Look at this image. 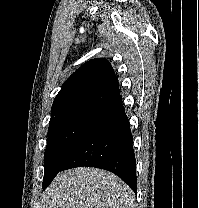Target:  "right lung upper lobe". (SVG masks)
Wrapping results in <instances>:
<instances>
[{
    "instance_id": "cb5924a9",
    "label": "right lung upper lobe",
    "mask_w": 199,
    "mask_h": 208,
    "mask_svg": "<svg viewBox=\"0 0 199 208\" xmlns=\"http://www.w3.org/2000/svg\"><path fill=\"white\" fill-rule=\"evenodd\" d=\"M119 96L118 79L109 61L92 59L62 85L53 102L51 117L78 108H101Z\"/></svg>"
}]
</instances>
